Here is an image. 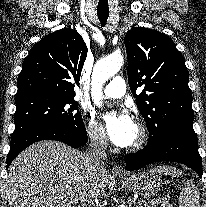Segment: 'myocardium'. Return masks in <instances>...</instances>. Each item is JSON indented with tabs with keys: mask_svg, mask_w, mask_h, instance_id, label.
<instances>
[{
	"mask_svg": "<svg viewBox=\"0 0 206 207\" xmlns=\"http://www.w3.org/2000/svg\"><path fill=\"white\" fill-rule=\"evenodd\" d=\"M136 127L138 130V136L136 140L130 145L128 149L130 151H135L143 148L149 140L150 133L148 127L141 121L136 122Z\"/></svg>",
	"mask_w": 206,
	"mask_h": 207,
	"instance_id": "1",
	"label": "myocardium"
}]
</instances>
